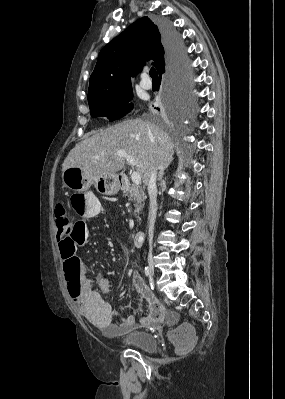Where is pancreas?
Returning a JSON list of instances; mask_svg holds the SVG:
<instances>
[{"label":"pancreas","instance_id":"obj_1","mask_svg":"<svg viewBox=\"0 0 285 399\" xmlns=\"http://www.w3.org/2000/svg\"><path fill=\"white\" fill-rule=\"evenodd\" d=\"M123 196L128 197L134 202L135 216L140 214L142 203H144L146 199L144 190L137 185L127 183L123 186Z\"/></svg>","mask_w":285,"mask_h":399}]
</instances>
